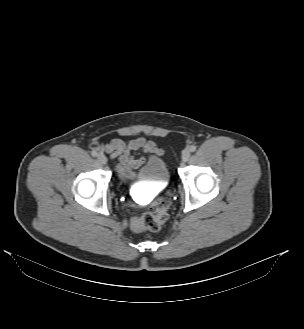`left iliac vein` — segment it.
<instances>
[{
  "label": "left iliac vein",
  "instance_id": "1",
  "mask_svg": "<svg viewBox=\"0 0 304 329\" xmlns=\"http://www.w3.org/2000/svg\"><path fill=\"white\" fill-rule=\"evenodd\" d=\"M190 150L188 149H185L183 152H182V161L186 162L188 161V159L190 158Z\"/></svg>",
  "mask_w": 304,
  "mask_h": 329
}]
</instances>
